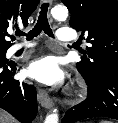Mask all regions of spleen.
I'll use <instances>...</instances> for the list:
<instances>
[{
  "label": "spleen",
  "instance_id": "obj_1",
  "mask_svg": "<svg viewBox=\"0 0 118 123\" xmlns=\"http://www.w3.org/2000/svg\"><path fill=\"white\" fill-rule=\"evenodd\" d=\"M101 123H109L108 121H102Z\"/></svg>",
  "mask_w": 118,
  "mask_h": 123
}]
</instances>
